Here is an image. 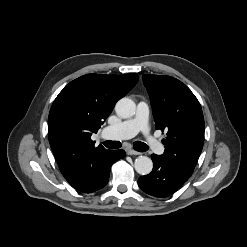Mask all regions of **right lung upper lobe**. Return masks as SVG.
I'll use <instances>...</instances> for the list:
<instances>
[{
  "label": "right lung upper lobe",
  "mask_w": 247,
  "mask_h": 247,
  "mask_svg": "<svg viewBox=\"0 0 247 247\" xmlns=\"http://www.w3.org/2000/svg\"><path fill=\"white\" fill-rule=\"evenodd\" d=\"M138 79L135 73L83 75L66 85L54 100L48 117L49 142L70 184L85 178L109 153L102 145L95 147L91 135Z\"/></svg>",
  "instance_id": "obj_1"
}]
</instances>
